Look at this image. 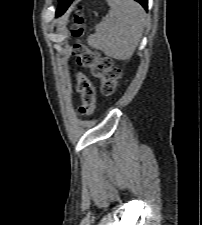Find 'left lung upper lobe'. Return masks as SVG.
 Masks as SVG:
<instances>
[{
	"label": "left lung upper lobe",
	"mask_w": 202,
	"mask_h": 225,
	"mask_svg": "<svg viewBox=\"0 0 202 225\" xmlns=\"http://www.w3.org/2000/svg\"><path fill=\"white\" fill-rule=\"evenodd\" d=\"M60 4L57 11V16L62 15L69 5L72 3L73 0H59Z\"/></svg>",
	"instance_id": "1"
}]
</instances>
